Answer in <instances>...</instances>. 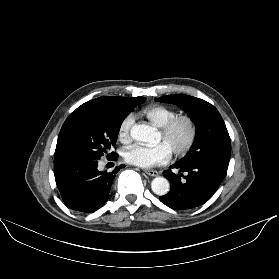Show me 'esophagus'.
Masks as SVG:
<instances>
[{"mask_svg":"<svg viewBox=\"0 0 279 279\" xmlns=\"http://www.w3.org/2000/svg\"><path fill=\"white\" fill-rule=\"evenodd\" d=\"M144 172L149 175V176H152V177H156L159 175V173L156 171V170H150V169H146L144 170Z\"/></svg>","mask_w":279,"mask_h":279,"instance_id":"esophagus-1","label":"esophagus"}]
</instances>
